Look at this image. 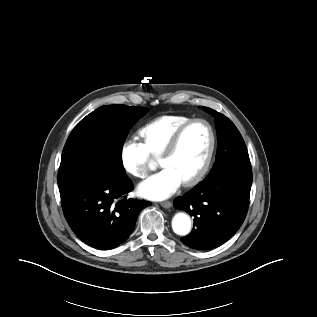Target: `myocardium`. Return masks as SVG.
<instances>
[{"instance_id": "1", "label": "myocardium", "mask_w": 317, "mask_h": 317, "mask_svg": "<svg viewBox=\"0 0 317 317\" xmlns=\"http://www.w3.org/2000/svg\"><path fill=\"white\" fill-rule=\"evenodd\" d=\"M197 123H201L204 124L208 131H209V135H210V144H209V148L206 154V157L201 165V167L198 169V171L191 176L190 178L186 179L183 181V185L185 186H193L195 184H197L198 182H200L203 177L207 174L213 156H214V152H215V147H216V135L214 132V129L212 127V125L205 119L202 118H194L189 120L188 122H186L184 125H182L173 135V137L171 138V140L169 141L168 145L166 146L165 150L162 152V154L160 155V161L168 158L170 156H172L176 150L179 147V144L182 140V137L184 136L185 132L194 124Z\"/></svg>"}]
</instances>
